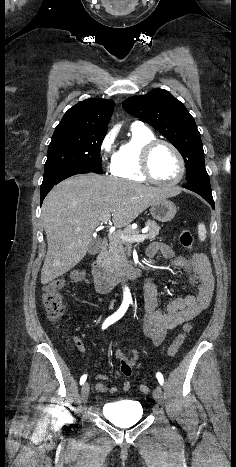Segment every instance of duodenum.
<instances>
[{
    "label": "duodenum",
    "instance_id": "duodenum-1",
    "mask_svg": "<svg viewBox=\"0 0 236 467\" xmlns=\"http://www.w3.org/2000/svg\"><path fill=\"white\" fill-rule=\"evenodd\" d=\"M107 248V240L100 244V252L89 266L94 285L99 293H107L124 281L143 275L141 266L131 263L117 272H110L103 263V254Z\"/></svg>",
    "mask_w": 236,
    "mask_h": 467
}]
</instances>
